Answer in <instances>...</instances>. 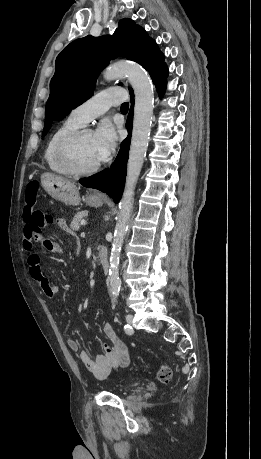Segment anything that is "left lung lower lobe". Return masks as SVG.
I'll list each match as a JSON object with an SVG mask.
<instances>
[{
	"label": "left lung lower lobe",
	"mask_w": 261,
	"mask_h": 459,
	"mask_svg": "<svg viewBox=\"0 0 261 459\" xmlns=\"http://www.w3.org/2000/svg\"><path fill=\"white\" fill-rule=\"evenodd\" d=\"M167 75L168 68L167 66H164L152 77L159 96H162L164 93ZM130 94L132 106L126 122V127L129 134H131L133 120L134 95L132 90H130ZM129 146L130 135L122 142L120 151L110 168H107L91 176L89 179H82L80 180V183L85 187L95 188L102 192H106L110 197L113 198L115 203H118L122 196L125 183Z\"/></svg>",
	"instance_id": "0a47b994"
}]
</instances>
